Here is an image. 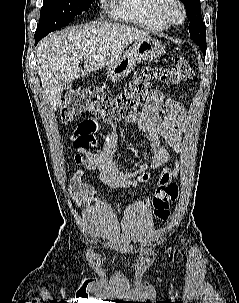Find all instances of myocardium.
Here are the masks:
<instances>
[{"label": "myocardium", "mask_w": 239, "mask_h": 303, "mask_svg": "<svg viewBox=\"0 0 239 303\" xmlns=\"http://www.w3.org/2000/svg\"><path fill=\"white\" fill-rule=\"evenodd\" d=\"M172 5H175L180 11L179 20H175L169 12ZM157 14L169 26L181 25L187 17L186 7L181 0H160L159 5L157 6Z\"/></svg>", "instance_id": "myocardium-1"}]
</instances>
